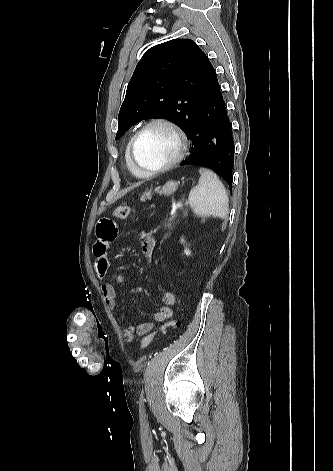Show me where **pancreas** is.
I'll list each match as a JSON object with an SVG mask.
<instances>
[{
  "label": "pancreas",
  "mask_w": 333,
  "mask_h": 471,
  "mask_svg": "<svg viewBox=\"0 0 333 471\" xmlns=\"http://www.w3.org/2000/svg\"><path fill=\"white\" fill-rule=\"evenodd\" d=\"M188 210L187 209H182V215L184 217L187 216ZM178 217V213H175L174 215L170 216L169 218H166L163 220V226L167 230H172L174 227V220Z\"/></svg>",
  "instance_id": "1"
}]
</instances>
